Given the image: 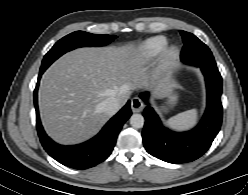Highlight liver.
I'll use <instances>...</instances> for the list:
<instances>
[{"label": "liver", "mask_w": 248, "mask_h": 195, "mask_svg": "<svg viewBox=\"0 0 248 195\" xmlns=\"http://www.w3.org/2000/svg\"><path fill=\"white\" fill-rule=\"evenodd\" d=\"M169 84V73L150 69L135 44L76 49L42 76V123L55 141L80 143L95 135L111 116L98 109L108 97H116L121 107L136 88H149L161 96Z\"/></svg>", "instance_id": "6515ba94"}]
</instances>
